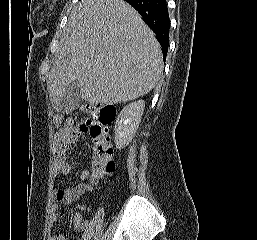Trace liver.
I'll list each match as a JSON object with an SVG mask.
<instances>
[{"instance_id": "6515ba94", "label": "liver", "mask_w": 257, "mask_h": 240, "mask_svg": "<svg viewBox=\"0 0 257 240\" xmlns=\"http://www.w3.org/2000/svg\"><path fill=\"white\" fill-rule=\"evenodd\" d=\"M162 71L160 44L132 6L82 0L68 17L47 83L54 105L73 81L83 100L116 104L149 93Z\"/></svg>"}]
</instances>
